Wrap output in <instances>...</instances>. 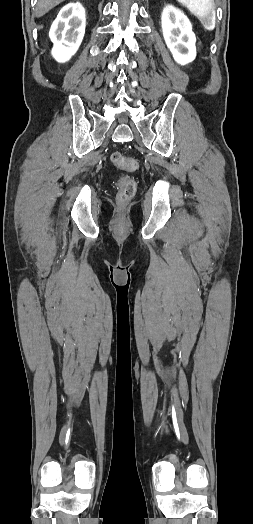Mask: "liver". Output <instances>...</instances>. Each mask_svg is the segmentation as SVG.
Here are the masks:
<instances>
[{
  "mask_svg": "<svg viewBox=\"0 0 253 524\" xmlns=\"http://www.w3.org/2000/svg\"><path fill=\"white\" fill-rule=\"evenodd\" d=\"M65 0H38L36 16L41 17Z\"/></svg>",
  "mask_w": 253,
  "mask_h": 524,
  "instance_id": "6515ba94",
  "label": "liver"
}]
</instances>
